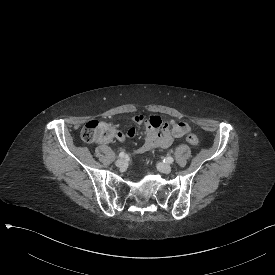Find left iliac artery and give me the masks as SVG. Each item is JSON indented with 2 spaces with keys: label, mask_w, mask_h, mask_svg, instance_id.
Segmentation results:
<instances>
[{
  "label": "left iliac artery",
  "mask_w": 275,
  "mask_h": 275,
  "mask_svg": "<svg viewBox=\"0 0 275 275\" xmlns=\"http://www.w3.org/2000/svg\"><path fill=\"white\" fill-rule=\"evenodd\" d=\"M165 161H166V163H169V164H171V163H173L174 162V159L172 158V157H166L165 158Z\"/></svg>",
  "instance_id": "left-iliac-artery-1"
}]
</instances>
